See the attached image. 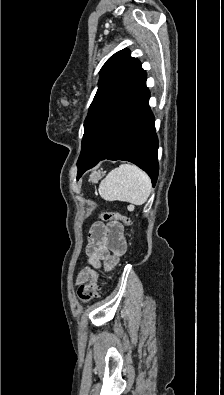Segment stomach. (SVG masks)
<instances>
[{
	"mask_svg": "<svg viewBox=\"0 0 224 395\" xmlns=\"http://www.w3.org/2000/svg\"><path fill=\"white\" fill-rule=\"evenodd\" d=\"M101 178V172L100 171H94L91 175H90V181L92 183H97L98 180Z\"/></svg>",
	"mask_w": 224,
	"mask_h": 395,
	"instance_id": "stomach-1",
	"label": "stomach"
}]
</instances>
